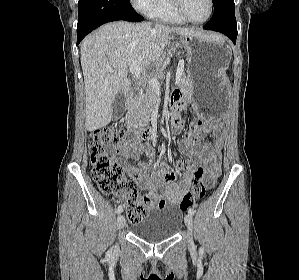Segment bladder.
Listing matches in <instances>:
<instances>
[{"label": "bladder", "instance_id": "1", "mask_svg": "<svg viewBox=\"0 0 299 280\" xmlns=\"http://www.w3.org/2000/svg\"><path fill=\"white\" fill-rule=\"evenodd\" d=\"M182 221V213L177 209H153L131 225V233L146 242H161L174 237L181 229Z\"/></svg>", "mask_w": 299, "mask_h": 280}]
</instances>
